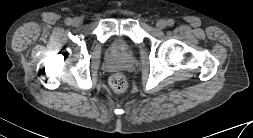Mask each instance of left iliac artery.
I'll use <instances>...</instances> for the list:
<instances>
[{"label": "left iliac artery", "instance_id": "44dca946", "mask_svg": "<svg viewBox=\"0 0 253 138\" xmlns=\"http://www.w3.org/2000/svg\"><path fill=\"white\" fill-rule=\"evenodd\" d=\"M167 25L170 26V27H172L174 25V20L173 19H169L167 21Z\"/></svg>", "mask_w": 253, "mask_h": 138}]
</instances>
